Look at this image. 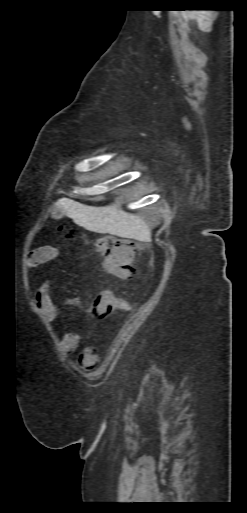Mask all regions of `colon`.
Here are the masks:
<instances>
[{
	"mask_svg": "<svg viewBox=\"0 0 247 513\" xmlns=\"http://www.w3.org/2000/svg\"><path fill=\"white\" fill-rule=\"evenodd\" d=\"M73 232L68 233L70 237ZM97 249L103 257L107 272L121 278H130L135 273V246L126 238L106 236L97 243ZM125 301L112 291H103L98 300L92 303L91 311L95 317H108L113 309L124 307Z\"/></svg>",
	"mask_w": 247,
	"mask_h": 513,
	"instance_id": "1",
	"label": "colon"
}]
</instances>
